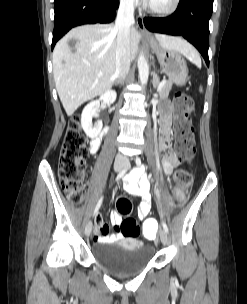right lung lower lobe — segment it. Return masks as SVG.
<instances>
[{"label":"right lung lower lobe","instance_id":"98d812e1","mask_svg":"<svg viewBox=\"0 0 247 304\" xmlns=\"http://www.w3.org/2000/svg\"><path fill=\"white\" fill-rule=\"evenodd\" d=\"M119 0H54L52 49L71 28L114 20Z\"/></svg>","mask_w":247,"mask_h":304}]
</instances>
